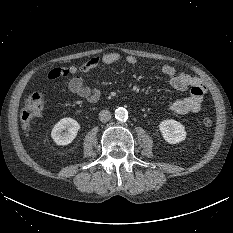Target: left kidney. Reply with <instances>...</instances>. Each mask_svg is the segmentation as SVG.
<instances>
[{"instance_id":"obj_1","label":"left kidney","mask_w":233,"mask_h":233,"mask_svg":"<svg viewBox=\"0 0 233 233\" xmlns=\"http://www.w3.org/2000/svg\"><path fill=\"white\" fill-rule=\"evenodd\" d=\"M159 130L169 144H177L186 138L184 125L174 119L163 120L159 124Z\"/></svg>"}]
</instances>
